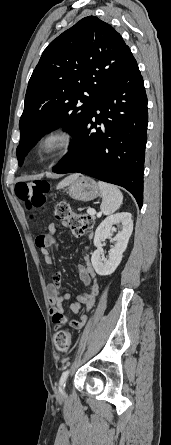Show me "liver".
I'll return each mask as SVG.
<instances>
[{"mask_svg":"<svg viewBox=\"0 0 171 445\" xmlns=\"http://www.w3.org/2000/svg\"><path fill=\"white\" fill-rule=\"evenodd\" d=\"M75 179H77V175L70 176L61 183V186H65Z\"/></svg>","mask_w":171,"mask_h":445,"instance_id":"liver-1","label":"liver"}]
</instances>
